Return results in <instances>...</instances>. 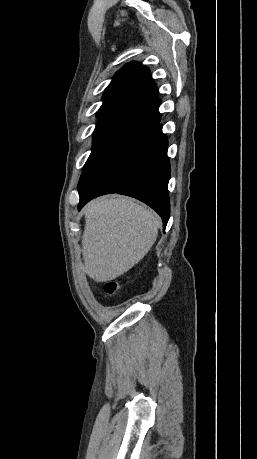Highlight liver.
I'll return each instance as SVG.
<instances>
[{"label":"liver","mask_w":257,"mask_h":459,"mask_svg":"<svg viewBox=\"0 0 257 459\" xmlns=\"http://www.w3.org/2000/svg\"><path fill=\"white\" fill-rule=\"evenodd\" d=\"M82 254L87 275L111 281L135 266L157 239L160 219L125 197H101L83 209Z\"/></svg>","instance_id":"1"}]
</instances>
